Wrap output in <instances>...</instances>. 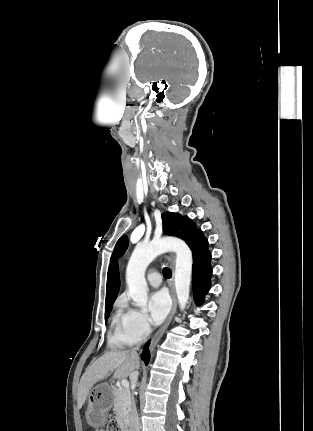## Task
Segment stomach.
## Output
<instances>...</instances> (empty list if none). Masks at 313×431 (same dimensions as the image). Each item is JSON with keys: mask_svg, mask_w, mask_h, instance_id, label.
I'll return each instance as SVG.
<instances>
[{"mask_svg": "<svg viewBox=\"0 0 313 431\" xmlns=\"http://www.w3.org/2000/svg\"><path fill=\"white\" fill-rule=\"evenodd\" d=\"M114 389L102 383L96 385L88 395L86 418L90 425L99 427L107 423L109 410L112 407Z\"/></svg>", "mask_w": 313, "mask_h": 431, "instance_id": "0dacf381", "label": "stomach"}]
</instances>
